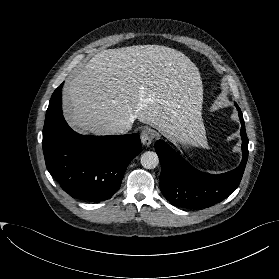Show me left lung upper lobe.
Segmentation results:
<instances>
[{
  "label": "left lung upper lobe",
  "instance_id": "5c2ea615",
  "mask_svg": "<svg viewBox=\"0 0 279 279\" xmlns=\"http://www.w3.org/2000/svg\"><path fill=\"white\" fill-rule=\"evenodd\" d=\"M235 106L237 107L238 112L241 111L240 108L238 107V105H237L236 103H235Z\"/></svg>",
  "mask_w": 279,
  "mask_h": 279
}]
</instances>
